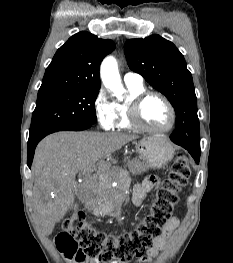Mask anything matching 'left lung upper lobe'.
<instances>
[{
	"instance_id": "1",
	"label": "left lung upper lobe",
	"mask_w": 233,
	"mask_h": 263,
	"mask_svg": "<svg viewBox=\"0 0 233 263\" xmlns=\"http://www.w3.org/2000/svg\"><path fill=\"white\" fill-rule=\"evenodd\" d=\"M131 70L142 75L171 102L176 113L173 142L191 143L200 149L197 99L192 75L176 46L159 35L130 39L124 47Z\"/></svg>"
}]
</instances>
